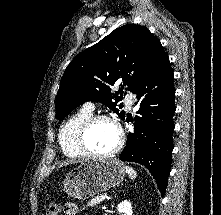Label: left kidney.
<instances>
[{"label": "left kidney", "instance_id": "1", "mask_svg": "<svg viewBox=\"0 0 221 215\" xmlns=\"http://www.w3.org/2000/svg\"><path fill=\"white\" fill-rule=\"evenodd\" d=\"M117 209L119 213H122V215H132V206L131 203L127 200L118 204Z\"/></svg>", "mask_w": 221, "mask_h": 215}]
</instances>
